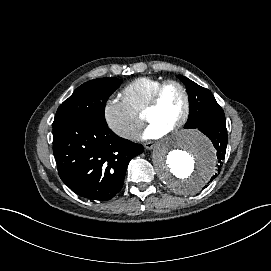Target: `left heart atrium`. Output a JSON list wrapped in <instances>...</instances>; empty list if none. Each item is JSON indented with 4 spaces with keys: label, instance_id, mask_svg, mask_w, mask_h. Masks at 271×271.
Segmentation results:
<instances>
[{
    "label": "left heart atrium",
    "instance_id": "39dd6f15",
    "mask_svg": "<svg viewBox=\"0 0 271 271\" xmlns=\"http://www.w3.org/2000/svg\"><path fill=\"white\" fill-rule=\"evenodd\" d=\"M169 131L155 123H149L147 128L139 135L141 140H154L165 136Z\"/></svg>",
    "mask_w": 271,
    "mask_h": 271
}]
</instances>
